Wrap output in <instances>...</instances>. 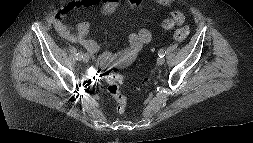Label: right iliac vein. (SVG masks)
Masks as SVG:
<instances>
[{
    "instance_id": "63e3f726",
    "label": "right iliac vein",
    "mask_w": 253,
    "mask_h": 143,
    "mask_svg": "<svg viewBox=\"0 0 253 143\" xmlns=\"http://www.w3.org/2000/svg\"><path fill=\"white\" fill-rule=\"evenodd\" d=\"M83 61L88 63L90 61V56L88 54H84Z\"/></svg>"
}]
</instances>
